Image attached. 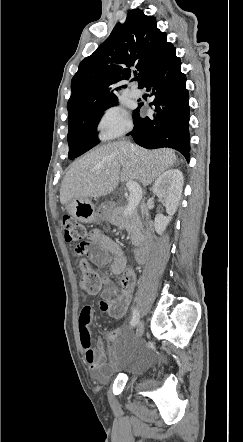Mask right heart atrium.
I'll return each instance as SVG.
<instances>
[{
    "instance_id": "d8ad5b80",
    "label": "right heart atrium",
    "mask_w": 243,
    "mask_h": 442,
    "mask_svg": "<svg viewBox=\"0 0 243 442\" xmlns=\"http://www.w3.org/2000/svg\"><path fill=\"white\" fill-rule=\"evenodd\" d=\"M131 128L132 120L129 113L123 107L117 105L107 107L97 123L99 136L105 140L119 138Z\"/></svg>"
}]
</instances>
